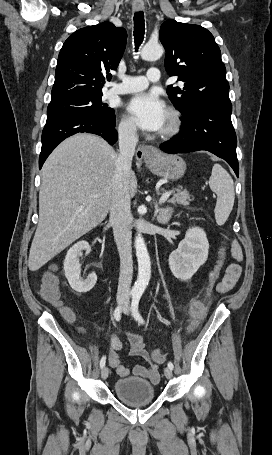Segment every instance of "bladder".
<instances>
[{"mask_svg":"<svg viewBox=\"0 0 272 455\" xmlns=\"http://www.w3.org/2000/svg\"><path fill=\"white\" fill-rule=\"evenodd\" d=\"M114 393L119 400L130 406L149 404L155 398L153 384L134 376L118 379L114 384Z\"/></svg>","mask_w":272,"mask_h":455,"instance_id":"31cf9c89","label":"bladder"}]
</instances>
